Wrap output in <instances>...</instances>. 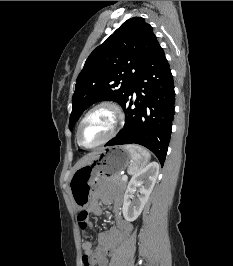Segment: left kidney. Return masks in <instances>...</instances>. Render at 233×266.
<instances>
[{"label":"left kidney","instance_id":"5707ae66","mask_svg":"<svg viewBox=\"0 0 233 266\" xmlns=\"http://www.w3.org/2000/svg\"><path fill=\"white\" fill-rule=\"evenodd\" d=\"M158 174L159 165L152 162L131 178L125 191L123 203V216L127 221L132 222L141 214L156 183ZM137 187H140V195L134 202H131L130 198H132V193Z\"/></svg>","mask_w":233,"mask_h":266}]
</instances>
